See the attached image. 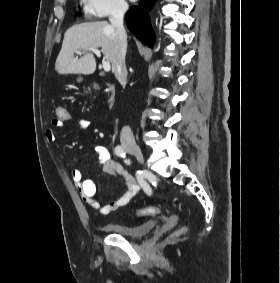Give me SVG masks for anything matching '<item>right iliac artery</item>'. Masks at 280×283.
<instances>
[{
	"label": "right iliac artery",
	"mask_w": 280,
	"mask_h": 283,
	"mask_svg": "<svg viewBox=\"0 0 280 283\" xmlns=\"http://www.w3.org/2000/svg\"><path fill=\"white\" fill-rule=\"evenodd\" d=\"M115 153H116V155L119 156V157H122V158H125V157H126V152H125V150H124V148H123L122 146H119V145L116 146V148H115ZM125 163L130 164V160H125ZM136 177H137L139 183H140L142 186L147 187L145 181L143 180V178H142V176H141V174H140V171H137V172H136Z\"/></svg>",
	"instance_id": "right-iliac-artery-1"
}]
</instances>
